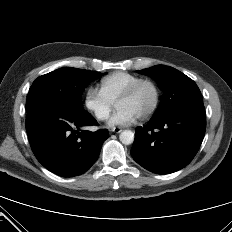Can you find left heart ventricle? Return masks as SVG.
<instances>
[{
	"label": "left heart ventricle",
	"instance_id": "obj_1",
	"mask_svg": "<svg viewBox=\"0 0 232 232\" xmlns=\"http://www.w3.org/2000/svg\"><path fill=\"white\" fill-rule=\"evenodd\" d=\"M153 101V88L149 84H144L132 98L117 104V108H125L140 117L151 107Z\"/></svg>",
	"mask_w": 232,
	"mask_h": 232
}]
</instances>
